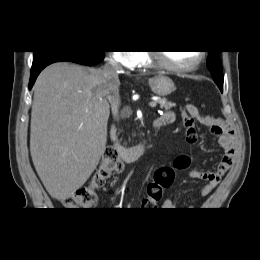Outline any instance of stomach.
Returning a JSON list of instances; mask_svg holds the SVG:
<instances>
[{"label": "stomach", "mask_w": 260, "mask_h": 260, "mask_svg": "<svg viewBox=\"0 0 260 260\" xmlns=\"http://www.w3.org/2000/svg\"><path fill=\"white\" fill-rule=\"evenodd\" d=\"M149 87L158 96L165 97L175 91L172 79L164 75L155 76L148 81Z\"/></svg>", "instance_id": "obj_1"}]
</instances>
